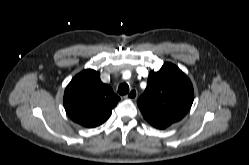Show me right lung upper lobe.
Wrapping results in <instances>:
<instances>
[{"instance_id": "obj_1", "label": "right lung upper lobe", "mask_w": 249, "mask_h": 165, "mask_svg": "<svg viewBox=\"0 0 249 165\" xmlns=\"http://www.w3.org/2000/svg\"><path fill=\"white\" fill-rule=\"evenodd\" d=\"M120 98L102 83L99 72L87 69L77 74L65 89L63 103L69 117L92 128L104 123Z\"/></svg>"}]
</instances>
